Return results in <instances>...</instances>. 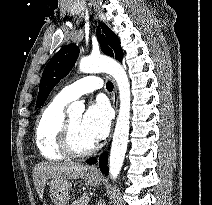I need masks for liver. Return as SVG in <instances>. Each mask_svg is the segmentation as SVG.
<instances>
[{"label":"liver","mask_w":212,"mask_h":205,"mask_svg":"<svg viewBox=\"0 0 212 205\" xmlns=\"http://www.w3.org/2000/svg\"><path fill=\"white\" fill-rule=\"evenodd\" d=\"M87 170L88 166L81 164H38L34 167L33 178L40 199L43 198L46 180L78 179L83 177Z\"/></svg>","instance_id":"6515ba94"}]
</instances>
